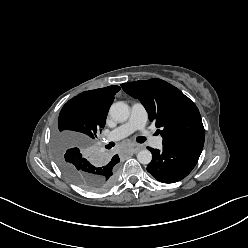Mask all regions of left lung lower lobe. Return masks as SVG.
<instances>
[{
    "label": "left lung lower lobe",
    "instance_id": "1",
    "mask_svg": "<svg viewBox=\"0 0 248 248\" xmlns=\"http://www.w3.org/2000/svg\"><path fill=\"white\" fill-rule=\"evenodd\" d=\"M205 136L188 137L163 145L162 151L148 148L152 161L147 171L158 181L175 183L185 178L195 167L203 149Z\"/></svg>",
    "mask_w": 248,
    "mask_h": 248
}]
</instances>
